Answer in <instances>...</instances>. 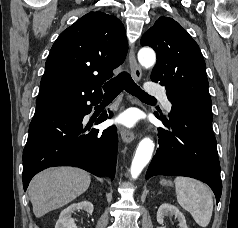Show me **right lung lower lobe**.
<instances>
[{
  "label": "right lung lower lobe",
  "instance_id": "obj_1",
  "mask_svg": "<svg viewBox=\"0 0 238 228\" xmlns=\"http://www.w3.org/2000/svg\"><path fill=\"white\" fill-rule=\"evenodd\" d=\"M102 95L74 100L65 105L36 111L29 126L23 151V187L26 191L32 177L52 166H75L96 176H115L117 128L90 129L83 118L91 112L87 101L97 104ZM112 115V112L109 113ZM104 112L96 120L107 119Z\"/></svg>",
  "mask_w": 238,
  "mask_h": 228
}]
</instances>
